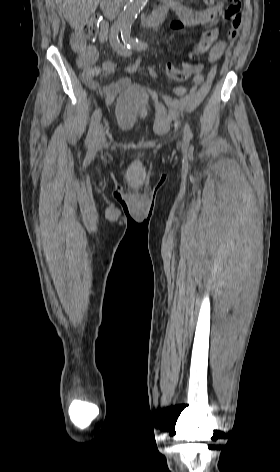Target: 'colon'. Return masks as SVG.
Here are the masks:
<instances>
[{
	"label": "colon",
	"instance_id": "5ec220e1",
	"mask_svg": "<svg viewBox=\"0 0 280 472\" xmlns=\"http://www.w3.org/2000/svg\"><path fill=\"white\" fill-rule=\"evenodd\" d=\"M216 0H208V2H215ZM240 0H228V6L224 13V20L231 24V27L240 25ZM99 31V22L97 19L89 20L81 29L80 33L88 38H94ZM79 65L82 67V63L78 60ZM166 75L176 81H183L191 76V65L186 64L184 67L179 68L172 64H167L164 67Z\"/></svg>",
	"mask_w": 280,
	"mask_h": 472
}]
</instances>
